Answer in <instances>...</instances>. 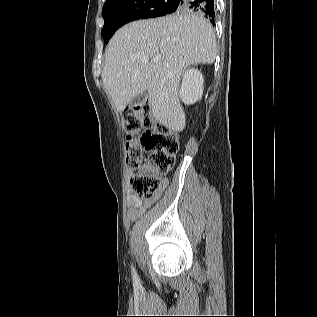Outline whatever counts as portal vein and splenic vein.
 <instances>
[{"label": "portal vein and splenic vein", "mask_w": 317, "mask_h": 317, "mask_svg": "<svg viewBox=\"0 0 317 317\" xmlns=\"http://www.w3.org/2000/svg\"><path fill=\"white\" fill-rule=\"evenodd\" d=\"M154 62H156V63H157V62H158V59H154Z\"/></svg>", "instance_id": "1"}]
</instances>
